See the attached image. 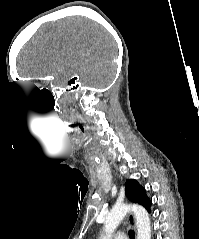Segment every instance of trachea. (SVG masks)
Masks as SVG:
<instances>
[{"label": "trachea", "mask_w": 199, "mask_h": 239, "mask_svg": "<svg viewBox=\"0 0 199 239\" xmlns=\"http://www.w3.org/2000/svg\"><path fill=\"white\" fill-rule=\"evenodd\" d=\"M134 235H135L134 231L129 230V236H130L131 239H134Z\"/></svg>", "instance_id": "3493384b"}]
</instances>
